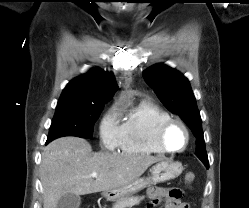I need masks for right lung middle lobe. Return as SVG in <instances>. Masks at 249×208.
<instances>
[{"mask_svg":"<svg viewBox=\"0 0 249 208\" xmlns=\"http://www.w3.org/2000/svg\"><path fill=\"white\" fill-rule=\"evenodd\" d=\"M103 106L92 104L57 106L47 142L63 136L91 139L94 123L100 116Z\"/></svg>","mask_w":249,"mask_h":208,"instance_id":"right-lung-middle-lobe-1","label":"right lung middle lobe"}]
</instances>
